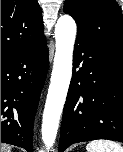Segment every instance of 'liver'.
Returning a JSON list of instances; mask_svg holds the SVG:
<instances>
[{"mask_svg": "<svg viewBox=\"0 0 123 152\" xmlns=\"http://www.w3.org/2000/svg\"><path fill=\"white\" fill-rule=\"evenodd\" d=\"M12 147L10 145L1 143V152H11Z\"/></svg>", "mask_w": 123, "mask_h": 152, "instance_id": "6515ba94", "label": "liver"}]
</instances>
